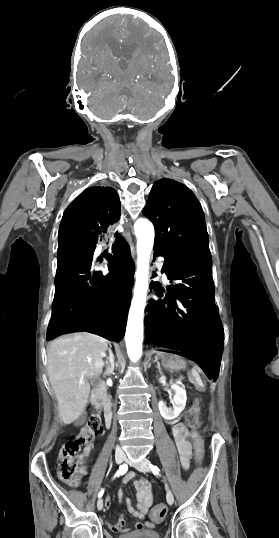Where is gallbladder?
Listing matches in <instances>:
<instances>
[{
	"label": "gallbladder",
	"mask_w": 279,
	"mask_h": 538,
	"mask_svg": "<svg viewBox=\"0 0 279 538\" xmlns=\"http://www.w3.org/2000/svg\"><path fill=\"white\" fill-rule=\"evenodd\" d=\"M92 384L93 385H98L99 384V379L98 378H93L92 379ZM79 418H80V420L85 421V420H87L88 415H87V413L82 412V413H80Z\"/></svg>",
	"instance_id": "gallbladder-1"
}]
</instances>
